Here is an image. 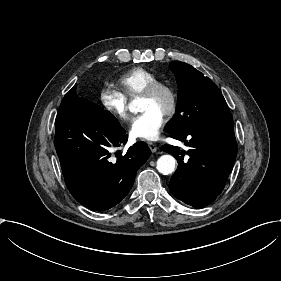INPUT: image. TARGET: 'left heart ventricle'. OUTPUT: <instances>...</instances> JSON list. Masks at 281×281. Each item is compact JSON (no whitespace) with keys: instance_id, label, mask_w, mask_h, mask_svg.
<instances>
[{"instance_id":"b2bd125f","label":"left heart ventricle","mask_w":281,"mask_h":281,"mask_svg":"<svg viewBox=\"0 0 281 281\" xmlns=\"http://www.w3.org/2000/svg\"><path fill=\"white\" fill-rule=\"evenodd\" d=\"M166 103L167 100L164 93H160L158 97L154 100H148L146 98L141 97L140 111L144 112L146 110H153L163 115V110L166 106Z\"/></svg>"}]
</instances>
